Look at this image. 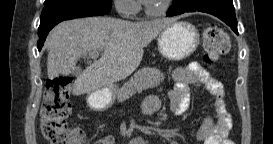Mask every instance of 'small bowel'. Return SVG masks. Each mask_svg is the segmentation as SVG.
Listing matches in <instances>:
<instances>
[{
    "label": "small bowel",
    "instance_id": "obj_1",
    "mask_svg": "<svg viewBox=\"0 0 273 144\" xmlns=\"http://www.w3.org/2000/svg\"><path fill=\"white\" fill-rule=\"evenodd\" d=\"M172 79L175 82V88L169 94L171 111L175 115H183L190 104V87H204L214 97L215 118L208 116L204 119L197 132V138L203 144H227L226 136L232 127V117L224 103L222 83L197 63L175 69ZM160 108L159 96L151 94L143 101L141 112L144 116L150 117L156 114ZM96 143L114 144L115 140L112 136H104Z\"/></svg>",
    "mask_w": 273,
    "mask_h": 144
}]
</instances>
